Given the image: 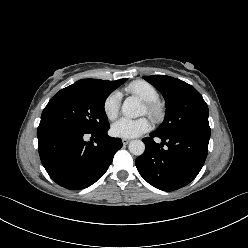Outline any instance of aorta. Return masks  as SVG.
<instances>
[{
  "mask_svg": "<svg viewBox=\"0 0 248 248\" xmlns=\"http://www.w3.org/2000/svg\"><path fill=\"white\" fill-rule=\"evenodd\" d=\"M122 114L128 118H136L142 114L140 101L135 97H128L122 107ZM129 151L136 156H140L145 151V144L141 140H133L129 143Z\"/></svg>",
  "mask_w": 248,
  "mask_h": 248,
  "instance_id": "obj_1",
  "label": "aorta"
}]
</instances>
